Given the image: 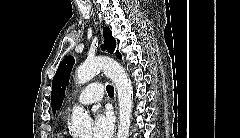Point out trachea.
Returning <instances> with one entry per match:
<instances>
[{"mask_svg": "<svg viewBox=\"0 0 240 138\" xmlns=\"http://www.w3.org/2000/svg\"><path fill=\"white\" fill-rule=\"evenodd\" d=\"M106 90H107V93H108L109 97H114V88H113V86L107 85L106 86Z\"/></svg>", "mask_w": 240, "mask_h": 138, "instance_id": "obj_1", "label": "trachea"}]
</instances>
